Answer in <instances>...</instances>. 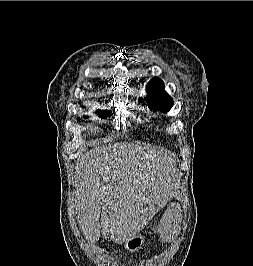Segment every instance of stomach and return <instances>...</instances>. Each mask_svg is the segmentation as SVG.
<instances>
[{
    "instance_id": "stomach-1",
    "label": "stomach",
    "mask_w": 253,
    "mask_h": 266,
    "mask_svg": "<svg viewBox=\"0 0 253 266\" xmlns=\"http://www.w3.org/2000/svg\"><path fill=\"white\" fill-rule=\"evenodd\" d=\"M144 244V237L140 233L134 235L132 238L127 240L124 247L129 252H135L142 248Z\"/></svg>"
}]
</instances>
